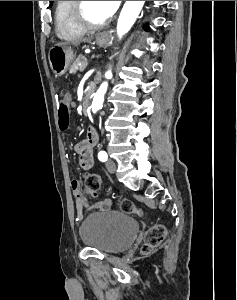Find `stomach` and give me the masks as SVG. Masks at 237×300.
Returning a JSON list of instances; mask_svg holds the SVG:
<instances>
[{
    "label": "stomach",
    "instance_id": "obj_1",
    "mask_svg": "<svg viewBox=\"0 0 237 300\" xmlns=\"http://www.w3.org/2000/svg\"><path fill=\"white\" fill-rule=\"evenodd\" d=\"M90 39H95V43L99 47H108L110 43V33H96ZM50 67L55 75H65L72 61H74V53L71 47H52L49 51Z\"/></svg>",
    "mask_w": 237,
    "mask_h": 300
}]
</instances>
